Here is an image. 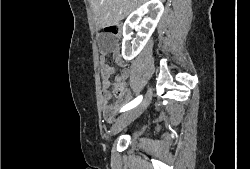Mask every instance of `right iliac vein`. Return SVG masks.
Returning <instances> with one entry per match:
<instances>
[{
    "mask_svg": "<svg viewBox=\"0 0 250 169\" xmlns=\"http://www.w3.org/2000/svg\"><path fill=\"white\" fill-rule=\"evenodd\" d=\"M152 98V91L151 89H148L147 95L145 99L132 110L122 114L118 119L117 122L114 124L112 128V134L115 135L118 132H120L123 128H125L131 121L138 118L141 113L147 109L150 101Z\"/></svg>",
    "mask_w": 250,
    "mask_h": 169,
    "instance_id": "63e3f726",
    "label": "right iliac vein"
}]
</instances>
